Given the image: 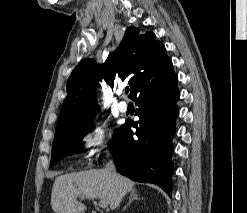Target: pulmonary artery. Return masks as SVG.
<instances>
[{
    "label": "pulmonary artery",
    "instance_id": "e3ab8cb5",
    "mask_svg": "<svg viewBox=\"0 0 247 213\" xmlns=\"http://www.w3.org/2000/svg\"><path fill=\"white\" fill-rule=\"evenodd\" d=\"M122 92L120 91L119 92V94H121ZM117 108H118V110L120 111V112H126L127 110H128V104H127V102H125V101H119L118 103H117Z\"/></svg>",
    "mask_w": 247,
    "mask_h": 213
}]
</instances>
